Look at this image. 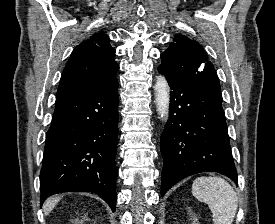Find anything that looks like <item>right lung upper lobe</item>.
I'll return each mask as SVG.
<instances>
[{"mask_svg":"<svg viewBox=\"0 0 275 224\" xmlns=\"http://www.w3.org/2000/svg\"><path fill=\"white\" fill-rule=\"evenodd\" d=\"M115 50L103 32L79 44L69 58L57 90L56 99L85 93L116 81L119 65Z\"/></svg>","mask_w":275,"mask_h":224,"instance_id":"1","label":"right lung upper lobe"}]
</instances>
